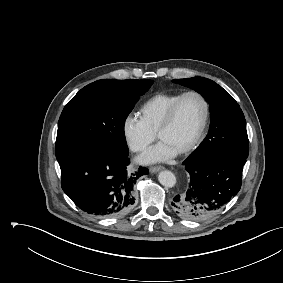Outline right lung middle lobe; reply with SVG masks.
I'll return each instance as SVG.
<instances>
[{"mask_svg":"<svg viewBox=\"0 0 283 283\" xmlns=\"http://www.w3.org/2000/svg\"><path fill=\"white\" fill-rule=\"evenodd\" d=\"M152 84L153 80L102 79L81 89L64 107L58 122V163L92 149L128 154L125 120Z\"/></svg>","mask_w":283,"mask_h":283,"instance_id":"1","label":"right lung middle lobe"}]
</instances>
